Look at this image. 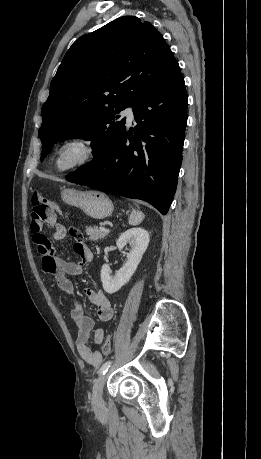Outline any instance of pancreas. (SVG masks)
<instances>
[{
    "label": "pancreas",
    "mask_w": 261,
    "mask_h": 459,
    "mask_svg": "<svg viewBox=\"0 0 261 459\" xmlns=\"http://www.w3.org/2000/svg\"><path fill=\"white\" fill-rule=\"evenodd\" d=\"M86 234L89 236V240L91 241H98L99 239L104 238L108 235V232L100 230L96 226H87L86 227Z\"/></svg>",
    "instance_id": "obj_1"
}]
</instances>
